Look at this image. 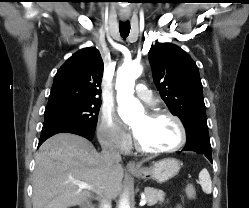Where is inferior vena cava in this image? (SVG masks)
Returning <instances> with one entry per match:
<instances>
[{"label":"inferior vena cava","mask_w":249,"mask_h":208,"mask_svg":"<svg viewBox=\"0 0 249 208\" xmlns=\"http://www.w3.org/2000/svg\"><path fill=\"white\" fill-rule=\"evenodd\" d=\"M101 155L106 165L109 167L113 166L114 164H119L121 161L120 152L115 143L111 140L102 144ZM99 208H112L111 199L109 197H103L100 199Z\"/></svg>","instance_id":"obj_1"}]
</instances>
